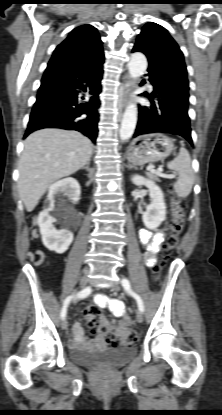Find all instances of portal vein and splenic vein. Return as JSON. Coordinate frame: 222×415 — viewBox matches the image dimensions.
I'll return each mask as SVG.
<instances>
[{
  "instance_id": "portal-vein-and-splenic-vein-1",
  "label": "portal vein and splenic vein",
  "mask_w": 222,
  "mask_h": 415,
  "mask_svg": "<svg viewBox=\"0 0 222 415\" xmlns=\"http://www.w3.org/2000/svg\"><path fill=\"white\" fill-rule=\"evenodd\" d=\"M147 170H148L149 172H152V173H159V172H157V171L153 168V166H149V167L147 168ZM161 176H162V177H165V178H169V179H174V178L176 177V174H161Z\"/></svg>"
}]
</instances>
